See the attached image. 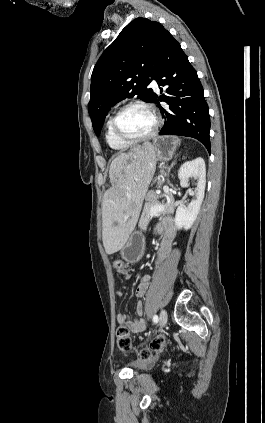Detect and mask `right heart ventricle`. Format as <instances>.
Listing matches in <instances>:
<instances>
[{
  "mask_svg": "<svg viewBox=\"0 0 265 423\" xmlns=\"http://www.w3.org/2000/svg\"><path fill=\"white\" fill-rule=\"evenodd\" d=\"M113 116L114 115H111L106 122V131H105L106 142L108 146L114 151H125L131 146V144L124 143L115 137L111 127Z\"/></svg>",
  "mask_w": 265,
  "mask_h": 423,
  "instance_id": "obj_1",
  "label": "right heart ventricle"
}]
</instances>
